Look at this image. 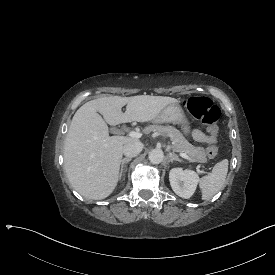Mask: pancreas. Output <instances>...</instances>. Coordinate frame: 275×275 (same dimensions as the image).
Masks as SVG:
<instances>
[{
	"instance_id": "pancreas-1",
	"label": "pancreas",
	"mask_w": 275,
	"mask_h": 275,
	"mask_svg": "<svg viewBox=\"0 0 275 275\" xmlns=\"http://www.w3.org/2000/svg\"><path fill=\"white\" fill-rule=\"evenodd\" d=\"M143 132L145 134L158 132L163 136H168L172 141L171 148L174 152L180 151L183 153H187L189 156L188 160L191 162L207 163L204 149L202 147H195L194 145H192L174 126L149 124L143 128Z\"/></svg>"
}]
</instances>
